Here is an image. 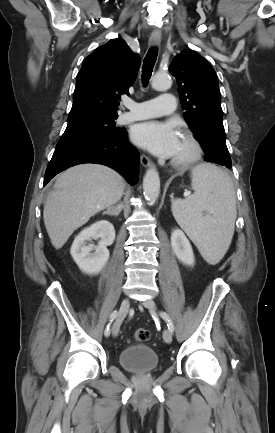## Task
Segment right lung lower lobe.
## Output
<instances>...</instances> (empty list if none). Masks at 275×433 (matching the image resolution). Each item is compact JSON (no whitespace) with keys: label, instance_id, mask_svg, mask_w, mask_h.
Returning a JSON list of instances; mask_svg holds the SVG:
<instances>
[{"label":"right lung lower lobe","instance_id":"right-lung-lower-lobe-1","mask_svg":"<svg viewBox=\"0 0 275 433\" xmlns=\"http://www.w3.org/2000/svg\"><path fill=\"white\" fill-rule=\"evenodd\" d=\"M110 139L73 138L60 140L45 172V186L55 175L68 167L83 163H98L121 173L134 185L138 180L139 152L128 142L125 130Z\"/></svg>","mask_w":275,"mask_h":433}]
</instances>
